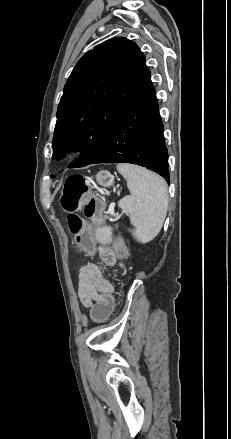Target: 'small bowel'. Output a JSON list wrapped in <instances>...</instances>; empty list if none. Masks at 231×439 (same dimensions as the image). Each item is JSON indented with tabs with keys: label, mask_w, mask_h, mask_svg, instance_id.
I'll return each mask as SVG.
<instances>
[{
	"label": "small bowel",
	"mask_w": 231,
	"mask_h": 439,
	"mask_svg": "<svg viewBox=\"0 0 231 439\" xmlns=\"http://www.w3.org/2000/svg\"><path fill=\"white\" fill-rule=\"evenodd\" d=\"M98 254L107 266H114L118 263L115 250L107 245H99ZM105 290L114 293L113 285L104 277L100 266L93 262L83 265L79 271L78 285V294L83 306L93 308L98 295H103Z\"/></svg>",
	"instance_id": "1"
}]
</instances>
